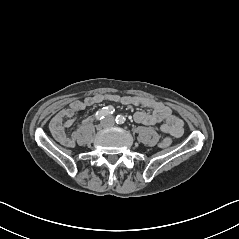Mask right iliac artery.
<instances>
[{
    "instance_id": "1",
    "label": "right iliac artery",
    "mask_w": 239,
    "mask_h": 239,
    "mask_svg": "<svg viewBox=\"0 0 239 239\" xmlns=\"http://www.w3.org/2000/svg\"><path fill=\"white\" fill-rule=\"evenodd\" d=\"M114 111L115 110L112 106L103 107L102 109L96 112L95 118L96 120H102L106 116L112 114Z\"/></svg>"
}]
</instances>
